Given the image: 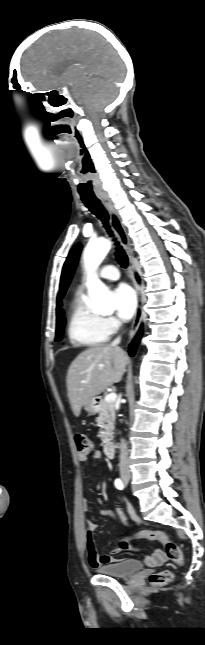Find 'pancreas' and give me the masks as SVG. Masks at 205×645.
I'll return each instance as SVG.
<instances>
[{
	"label": "pancreas",
	"instance_id": "obj_1",
	"mask_svg": "<svg viewBox=\"0 0 205 645\" xmlns=\"http://www.w3.org/2000/svg\"><path fill=\"white\" fill-rule=\"evenodd\" d=\"M99 416L97 422L101 424L100 438L102 442L108 443L113 439L115 423V403L108 402L103 398L100 402Z\"/></svg>",
	"mask_w": 205,
	"mask_h": 645
}]
</instances>
